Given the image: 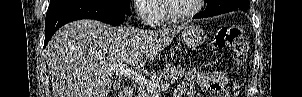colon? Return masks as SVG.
<instances>
[{"instance_id":"5ec220e1","label":"colon","mask_w":302,"mask_h":97,"mask_svg":"<svg viewBox=\"0 0 302 97\" xmlns=\"http://www.w3.org/2000/svg\"><path fill=\"white\" fill-rule=\"evenodd\" d=\"M210 48L214 51L230 48L233 52L234 61L244 63L248 56V43L239 27H222L212 38ZM233 93L238 94V86H234Z\"/></svg>"}]
</instances>
